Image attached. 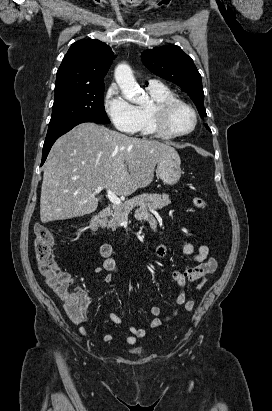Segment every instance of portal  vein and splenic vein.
<instances>
[{"label": "portal vein and splenic vein", "mask_w": 272, "mask_h": 411, "mask_svg": "<svg viewBox=\"0 0 272 411\" xmlns=\"http://www.w3.org/2000/svg\"><path fill=\"white\" fill-rule=\"evenodd\" d=\"M103 189H105V188L102 187V186H99V187H97L96 191L100 192V191H102ZM107 195H108L109 200H110L114 205H121V204H122L121 199H120L113 191L107 190Z\"/></svg>", "instance_id": "portal-vein-and-splenic-vein-1"}]
</instances>
